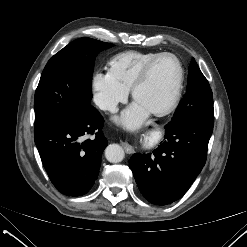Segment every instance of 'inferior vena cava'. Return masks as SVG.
I'll list each match as a JSON object with an SVG mask.
<instances>
[{
	"instance_id": "inferior-vena-cava-1",
	"label": "inferior vena cava",
	"mask_w": 247,
	"mask_h": 247,
	"mask_svg": "<svg viewBox=\"0 0 247 247\" xmlns=\"http://www.w3.org/2000/svg\"><path fill=\"white\" fill-rule=\"evenodd\" d=\"M116 106H117L116 102H102L99 107L102 110H109L113 112L116 110Z\"/></svg>"
}]
</instances>
